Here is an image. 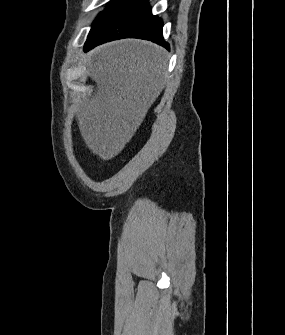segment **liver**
<instances>
[{
  "instance_id": "obj_1",
  "label": "liver",
  "mask_w": 285,
  "mask_h": 335,
  "mask_svg": "<svg viewBox=\"0 0 285 335\" xmlns=\"http://www.w3.org/2000/svg\"><path fill=\"white\" fill-rule=\"evenodd\" d=\"M167 52L143 40L98 46L83 62L98 92L77 114L80 134L92 154L112 160L141 126L165 88Z\"/></svg>"
}]
</instances>
